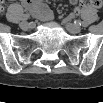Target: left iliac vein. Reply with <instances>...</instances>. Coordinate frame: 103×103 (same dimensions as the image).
Listing matches in <instances>:
<instances>
[{"mask_svg":"<svg viewBox=\"0 0 103 103\" xmlns=\"http://www.w3.org/2000/svg\"><path fill=\"white\" fill-rule=\"evenodd\" d=\"M65 25H66L67 30L70 33L75 34V33L81 32V28L79 26H77V25H74V24H72L70 22H66Z\"/></svg>","mask_w":103,"mask_h":103,"instance_id":"4c4485c4","label":"left iliac vein"}]
</instances>
